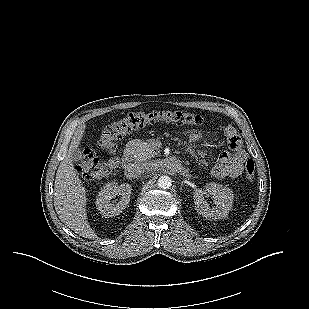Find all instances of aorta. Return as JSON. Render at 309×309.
<instances>
[{
    "mask_svg": "<svg viewBox=\"0 0 309 309\" xmlns=\"http://www.w3.org/2000/svg\"><path fill=\"white\" fill-rule=\"evenodd\" d=\"M172 185V180L169 176L163 175L158 179V186L162 189H167Z\"/></svg>",
    "mask_w": 309,
    "mask_h": 309,
    "instance_id": "762f6f07",
    "label": "aorta"
}]
</instances>
